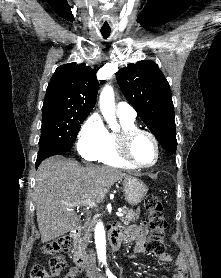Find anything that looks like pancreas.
<instances>
[{"instance_id":"pancreas-1","label":"pancreas","mask_w":221,"mask_h":278,"mask_svg":"<svg viewBox=\"0 0 221 278\" xmlns=\"http://www.w3.org/2000/svg\"><path fill=\"white\" fill-rule=\"evenodd\" d=\"M122 213L125 215L124 217L121 218V221L125 224L128 225L131 222H135L139 219V214L140 211H133L127 207L122 208ZM85 236L83 237L82 241L78 243V246L81 248H84L86 246V243L88 242V238L90 236L91 230L90 229H85L84 230Z\"/></svg>"}]
</instances>
